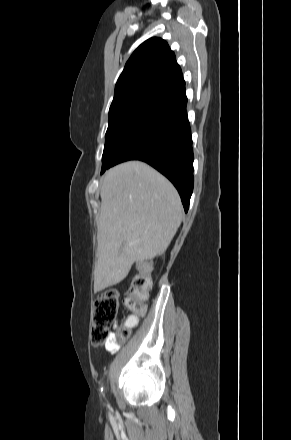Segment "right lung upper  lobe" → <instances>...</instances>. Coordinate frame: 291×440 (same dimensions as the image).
I'll return each mask as SVG.
<instances>
[{"label":"right lung upper lobe","mask_w":291,"mask_h":440,"mask_svg":"<svg viewBox=\"0 0 291 440\" xmlns=\"http://www.w3.org/2000/svg\"><path fill=\"white\" fill-rule=\"evenodd\" d=\"M182 80L180 66L167 42L150 38L127 61L117 80L112 104L139 97L155 99Z\"/></svg>","instance_id":"cb5924a9"}]
</instances>
